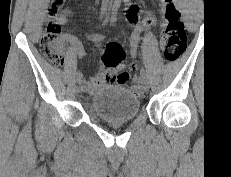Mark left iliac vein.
Instances as JSON below:
<instances>
[{
	"mask_svg": "<svg viewBox=\"0 0 231 177\" xmlns=\"http://www.w3.org/2000/svg\"><path fill=\"white\" fill-rule=\"evenodd\" d=\"M141 85L144 91L148 92L149 91V81L146 77L141 78Z\"/></svg>",
	"mask_w": 231,
	"mask_h": 177,
	"instance_id": "left-iliac-vein-1",
	"label": "left iliac vein"
}]
</instances>
